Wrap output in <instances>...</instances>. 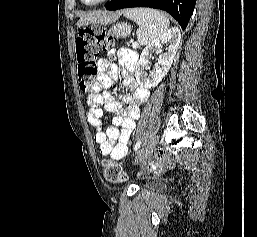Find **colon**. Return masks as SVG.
Instances as JSON below:
<instances>
[{
	"instance_id": "1",
	"label": "colon",
	"mask_w": 257,
	"mask_h": 237,
	"mask_svg": "<svg viewBox=\"0 0 257 237\" xmlns=\"http://www.w3.org/2000/svg\"><path fill=\"white\" fill-rule=\"evenodd\" d=\"M76 56L78 63V80L80 89H89L97 74V57L101 50L106 51L114 46L113 36L102 28L89 26L83 28L76 39ZM172 164L171 159L162 150L156 154V159L149 163L148 168L153 174L162 173ZM105 179L111 183H118L126 178L121 165L113 160L103 162Z\"/></svg>"
}]
</instances>
